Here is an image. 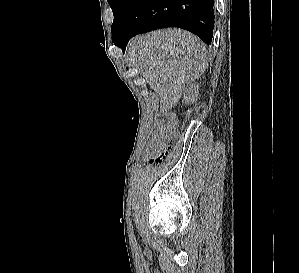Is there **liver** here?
<instances>
[{
    "mask_svg": "<svg viewBox=\"0 0 299 273\" xmlns=\"http://www.w3.org/2000/svg\"><path fill=\"white\" fill-rule=\"evenodd\" d=\"M127 54L129 62L160 96L165 111L178 103L186 87L208 66L205 44L181 29L140 35L129 43Z\"/></svg>",
    "mask_w": 299,
    "mask_h": 273,
    "instance_id": "obj_1",
    "label": "liver"
}]
</instances>
